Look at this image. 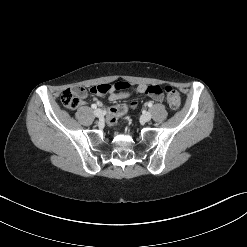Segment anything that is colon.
Masks as SVG:
<instances>
[{"label": "colon", "instance_id": "5ec220e1", "mask_svg": "<svg viewBox=\"0 0 247 247\" xmlns=\"http://www.w3.org/2000/svg\"><path fill=\"white\" fill-rule=\"evenodd\" d=\"M111 86L109 84L95 85L90 88V92L93 94H105L110 90ZM163 89L160 86H152L149 89V97L154 102L166 101L170 109L177 110L181 105V97L177 90L170 86H166ZM86 91L84 88L76 86L73 88L66 89L61 95V101L63 105L68 109H76L80 106L82 99L84 98ZM140 100L131 101L126 103V105L119 103L112 108L108 114L107 122L109 125H114L119 118L126 116L128 110L132 111L135 107H139Z\"/></svg>", "mask_w": 247, "mask_h": 247}]
</instances>
